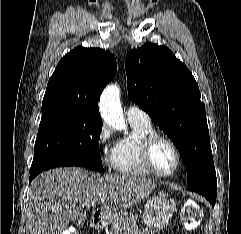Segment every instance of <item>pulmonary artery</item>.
Returning a JSON list of instances; mask_svg holds the SVG:
<instances>
[{"mask_svg":"<svg viewBox=\"0 0 241 234\" xmlns=\"http://www.w3.org/2000/svg\"><path fill=\"white\" fill-rule=\"evenodd\" d=\"M126 117L129 122L150 123L149 115L137 106H129L126 110Z\"/></svg>","mask_w":241,"mask_h":234,"instance_id":"e3ab8cb5","label":"pulmonary artery"}]
</instances>
